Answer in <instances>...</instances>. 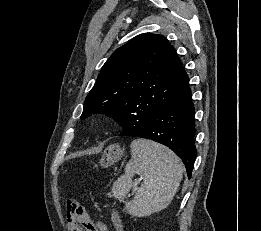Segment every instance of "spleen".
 <instances>
[{"mask_svg":"<svg viewBox=\"0 0 261 231\" xmlns=\"http://www.w3.org/2000/svg\"><path fill=\"white\" fill-rule=\"evenodd\" d=\"M131 160L125 174L112 186V194L124 201L132 187V177L138 174L143 182L125 209L142 217L166 208L180 185L183 167L179 158L168 148L146 139H135L131 145Z\"/></svg>","mask_w":261,"mask_h":231,"instance_id":"1","label":"spleen"}]
</instances>
